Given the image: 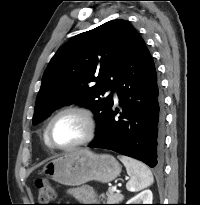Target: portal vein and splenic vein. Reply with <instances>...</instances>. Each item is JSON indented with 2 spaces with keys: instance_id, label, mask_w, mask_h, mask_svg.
Here are the masks:
<instances>
[{
  "instance_id": "portal-vein-and-splenic-vein-1",
  "label": "portal vein and splenic vein",
  "mask_w": 200,
  "mask_h": 205,
  "mask_svg": "<svg viewBox=\"0 0 200 205\" xmlns=\"http://www.w3.org/2000/svg\"><path fill=\"white\" fill-rule=\"evenodd\" d=\"M112 190L117 191V187L116 186L112 187Z\"/></svg>"
}]
</instances>
